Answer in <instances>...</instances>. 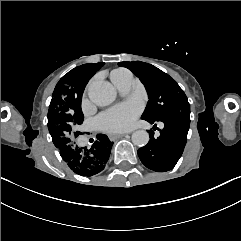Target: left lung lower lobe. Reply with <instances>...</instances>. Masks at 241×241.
I'll return each mask as SVG.
<instances>
[{
  "label": "left lung lower lobe",
  "instance_id": "left-lung-lower-lobe-1",
  "mask_svg": "<svg viewBox=\"0 0 241 241\" xmlns=\"http://www.w3.org/2000/svg\"><path fill=\"white\" fill-rule=\"evenodd\" d=\"M190 108L181 110L160 121L164 128L160 130V136L155 139L153 131H150L148 144L138 149L141 162L149 169L157 172L171 170L181 157L187 141L190 125ZM156 121H149L154 124Z\"/></svg>",
  "mask_w": 241,
  "mask_h": 241
}]
</instances>
